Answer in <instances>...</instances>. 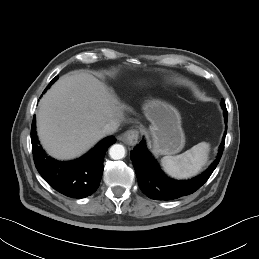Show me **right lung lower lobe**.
<instances>
[{"label": "right lung lower lobe", "instance_id": "right-lung-lower-lobe-1", "mask_svg": "<svg viewBox=\"0 0 259 259\" xmlns=\"http://www.w3.org/2000/svg\"><path fill=\"white\" fill-rule=\"evenodd\" d=\"M35 116L31 128V143L35 167L43 179L57 192L71 197L84 198L94 193L103 174V156L115 143L114 136L99 142L85 156L70 162H58L42 149L36 132Z\"/></svg>", "mask_w": 259, "mask_h": 259}]
</instances>
